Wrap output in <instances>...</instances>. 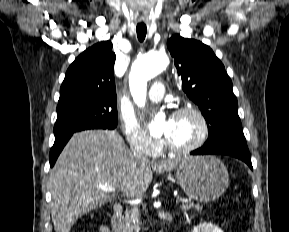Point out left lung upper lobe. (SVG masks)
<instances>
[{
    "label": "left lung upper lobe",
    "mask_w": 289,
    "mask_h": 232,
    "mask_svg": "<svg viewBox=\"0 0 289 232\" xmlns=\"http://www.w3.org/2000/svg\"><path fill=\"white\" fill-rule=\"evenodd\" d=\"M167 47L182 79L183 91L199 106L208 123L209 136L203 146L246 142L231 79L212 49L179 34L168 40Z\"/></svg>",
    "instance_id": "obj_1"
}]
</instances>
